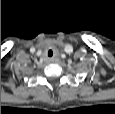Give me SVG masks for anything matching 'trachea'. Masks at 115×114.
Instances as JSON below:
<instances>
[{"label": "trachea", "instance_id": "1", "mask_svg": "<svg viewBox=\"0 0 115 114\" xmlns=\"http://www.w3.org/2000/svg\"><path fill=\"white\" fill-rule=\"evenodd\" d=\"M48 56H49V57H52V56H53V51H52V50H49V51H48Z\"/></svg>", "mask_w": 115, "mask_h": 114}]
</instances>
